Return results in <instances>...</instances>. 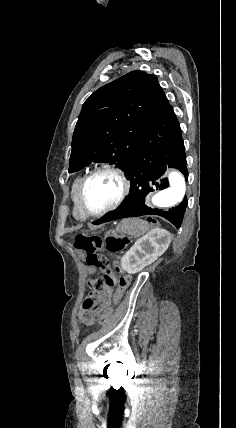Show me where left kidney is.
Returning <instances> with one entry per match:
<instances>
[{"label": "left kidney", "mask_w": 236, "mask_h": 428, "mask_svg": "<svg viewBox=\"0 0 236 428\" xmlns=\"http://www.w3.org/2000/svg\"><path fill=\"white\" fill-rule=\"evenodd\" d=\"M170 242L171 238L167 230H161V228L150 230L146 236L139 238L123 256L121 260L122 270L128 274L141 272L145 266H150L166 252Z\"/></svg>", "instance_id": "1"}]
</instances>
